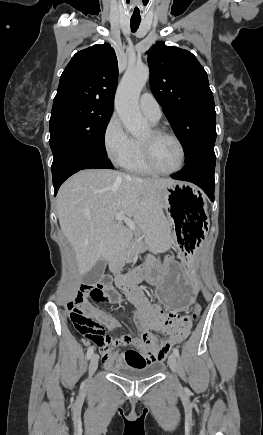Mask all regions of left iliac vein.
I'll return each instance as SVG.
<instances>
[{
    "mask_svg": "<svg viewBox=\"0 0 263 435\" xmlns=\"http://www.w3.org/2000/svg\"><path fill=\"white\" fill-rule=\"evenodd\" d=\"M168 365L171 368V370L176 373V369H177V356L172 353L170 354L169 358H168ZM176 381L178 382V380L176 379Z\"/></svg>",
    "mask_w": 263,
    "mask_h": 435,
    "instance_id": "1",
    "label": "left iliac vein"
}]
</instances>
